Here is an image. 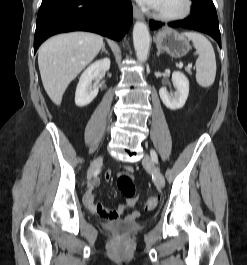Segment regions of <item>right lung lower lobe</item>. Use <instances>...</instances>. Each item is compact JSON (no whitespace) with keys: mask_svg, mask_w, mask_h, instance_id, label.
Listing matches in <instances>:
<instances>
[{"mask_svg":"<svg viewBox=\"0 0 247 265\" xmlns=\"http://www.w3.org/2000/svg\"><path fill=\"white\" fill-rule=\"evenodd\" d=\"M132 23L130 0H42L34 53L48 37L69 31H90L120 40Z\"/></svg>","mask_w":247,"mask_h":265,"instance_id":"right-lung-lower-lobe-1","label":"right lung lower lobe"}]
</instances>
